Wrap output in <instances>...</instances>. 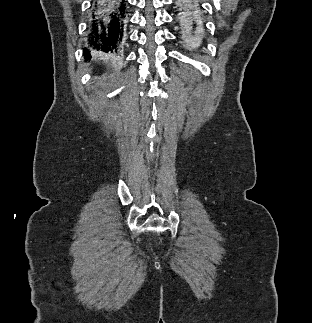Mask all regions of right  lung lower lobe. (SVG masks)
<instances>
[{
	"label": "right lung lower lobe",
	"instance_id": "right-lung-lower-lobe-1",
	"mask_svg": "<svg viewBox=\"0 0 312 323\" xmlns=\"http://www.w3.org/2000/svg\"><path fill=\"white\" fill-rule=\"evenodd\" d=\"M88 21L84 56L91 58L90 51L117 54L125 42L128 4L126 0H93Z\"/></svg>",
	"mask_w": 312,
	"mask_h": 323
}]
</instances>
